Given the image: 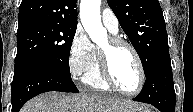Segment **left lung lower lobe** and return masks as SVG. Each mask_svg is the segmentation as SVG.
I'll return each mask as SVG.
<instances>
[{"instance_id": "obj_1", "label": "left lung lower lobe", "mask_w": 193, "mask_h": 112, "mask_svg": "<svg viewBox=\"0 0 193 112\" xmlns=\"http://www.w3.org/2000/svg\"><path fill=\"white\" fill-rule=\"evenodd\" d=\"M145 76L144 86L133 100L152 104L161 112H174L176 95L169 49L155 59Z\"/></svg>"}]
</instances>
